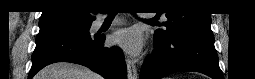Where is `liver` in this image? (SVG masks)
Here are the masks:
<instances>
[{
  "label": "liver",
  "mask_w": 255,
  "mask_h": 79,
  "mask_svg": "<svg viewBox=\"0 0 255 79\" xmlns=\"http://www.w3.org/2000/svg\"><path fill=\"white\" fill-rule=\"evenodd\" d=\"M35 79H102V77L84 66L58 62L43 68Z\"/></svg>",
  "instance_id": "obj_1"
}]
</instances>
